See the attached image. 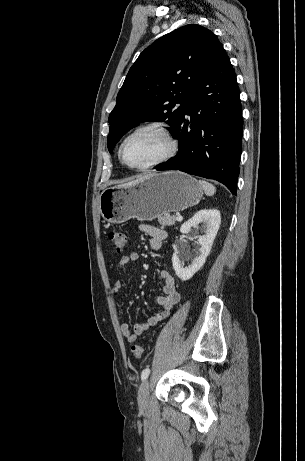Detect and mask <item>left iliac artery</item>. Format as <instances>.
Segmentation results:
<instances>
[{
    "label": "left iliac artery",
    "instance_id": "44dca946",
    "mask_svg": "<svg viewBox=\"0 0 305 461\" xmlns=\"http://www.w3.org/2000/svg\"><path fill=\"white\" fill-rule=\"evenodd\" d=\"M149 373H150V369H149V368L144 369V370L142 371V373H141V379H142V380L147 379L148 376H149Z\"/></svg>",
    "mask_w": 305,
    "mask_h": 461
}]
</instances>
